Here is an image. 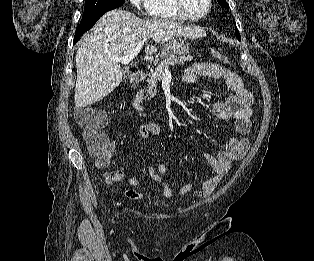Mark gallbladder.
Listing matches in <instances>:
<instances>
[{
    "mask_svg": "<svg viewBox=\"0 0 314 261\" xmlns=\"http://www.w3.org/2000/svg\"><path fill=\"white\" fill-rule=\"evenodd\" d=\"M131 75V70L130 69H124L123 70V76L125 79H128Z\"/></svg>",
    "mask_w": 314,
    "mask_h": 261,
    "instance_id": "obj_1",
    "label": "gallbladder"
}]
</instances>
